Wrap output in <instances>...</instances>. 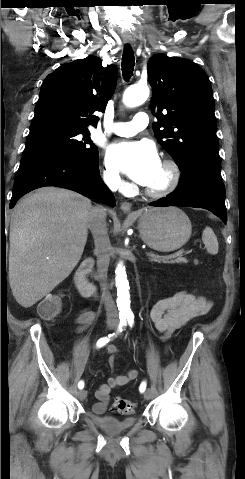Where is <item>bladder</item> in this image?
Returning <instances> with one entry per match:
<instances>
[{
	"label": "bladder",
	"instance_id": "obj_1",
	"mask_svg": "<svg viewBox=\"0 0 245 479\" xmlns=\"http://www.w3.org/2000/svg\"><path fill=\"white\" fill-rule=\"evenodd\" d=\"M90 419L94 425L101 428L109 434H116L122 431L130 429L135 421V417H127L123 419H118L111 416H102V415H90Z\"/></svg>",
	"mask_w": 245,
	"mask_h": 479
}]
</instances>
